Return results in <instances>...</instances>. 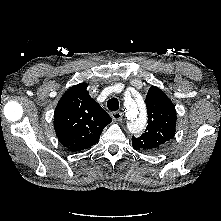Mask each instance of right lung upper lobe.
Listing matches in <instances>:
<instances>
[{
	"label": "right lung upper lobe",
	"mask_w": 221,
	"mask_h": 221,
	"mask_svg": "<svg viewBox=\"0 0 221 221\" xmlns=\"http://www.w3.org/2000/svg\"><path fill=\"white\" fill-rule=\"evenodd\" d=\"M87 84L69 88L58 102L54 113L56 135L71 151L88 149L99 140L111 117L90 97Z\"/></svg>",
	"instance_id": "1"
}]
</instances>
